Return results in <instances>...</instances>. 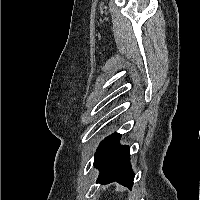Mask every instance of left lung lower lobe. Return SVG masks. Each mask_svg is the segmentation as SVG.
I'll return each instance as SVG.
<instances>
[{
  "label": "left lung lower lobe",
  "mask_w": 201,
  "mask_h": 200,
  "mask_svg": "<svg viewBox=\"0 0 201 200\" xmlns=\"http://www.w3.org/2000/svg\"><path fill=\"white\" fill-rule=\"evenodd\" d=\"M120 138L119 133H113L99 144L94 155V166L100 171L96 182L106 184L117 181L131 189L134 174L129 146L120 145Z\"/></svg>",
  "instance_id": "left-lung-lower-lobe-1"
}]
</instances>
